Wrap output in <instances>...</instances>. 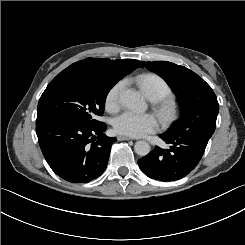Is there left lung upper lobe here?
Here are the masks:
<instances>
[{
  "label": "left lung upper lobe",
  "instance_id": "left-lung-upper-lobe-1",
  "mask_svg": "<svg viewBox=\"0 0 245 245\" xmlns=\"http://www.w3.org/2000/svg\"><path fill=\"white\" fill-rule=\"evenodd\" d=\"M145 67L162 77L179 101L181 119L170 129L182 128L189 118L206 110L219 111L217 98L211 87L196 73L171 62H143Z\"/></svg>",
  "mask_w": 245,
  "mask_h": 245
}]
</instances>
